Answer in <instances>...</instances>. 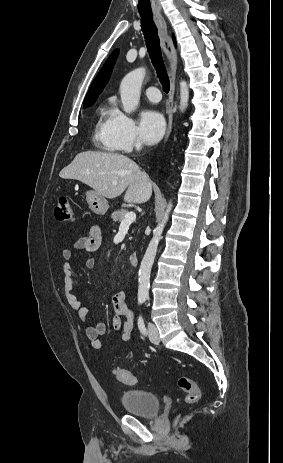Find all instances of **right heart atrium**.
Returning <instances> with one entry per match:
<instances>
[{"instance_id": "obj_1", "label": "right heart atrium", "mask_w": 283, "mask_h": 463, "mask_svg": "<svg viewBox=\"0 0 283 463\" xmlns=\"http://www.w3.org/2000/svg\"><path fill=\"white\" fill-rule=\"evenodd\" d=\"M111 132L122 151L129 152L142 146L134 120L118 109H114L112 114Z\"/></svg>"}]
</instances>
